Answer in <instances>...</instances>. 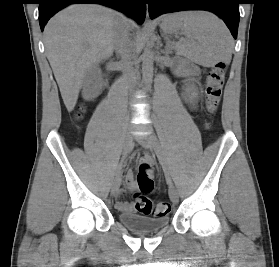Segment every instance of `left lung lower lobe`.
<instances>
[{
  "instance_id": "0a47b994",
  "label": "left lung lower lobe",
  "mask_w": 279,
  "mask_h": 267,
  "mask_svg": "<svg viewBox=\"0 0 279 267\" xmlns=\"http://www.w3.org/2000/svg\"><path fill=\"white\" fill-rule=\"evenodd\" d=\"M239 0H149L151 19L181 10H206L220 16L236 39L240 19Z\"/></svg>"
}]
</instances>
